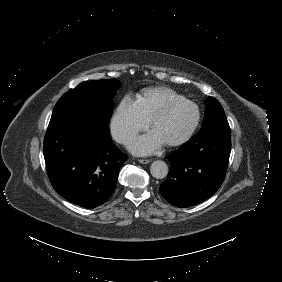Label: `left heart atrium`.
Wrapping results in <instances>:
<instances>
[{
	"instance_id": "obj_1",
	"label": "left heart atrium",
	"mask_w": 282,
	"mask_h": 282,
	"mask_svg": "<svg viewBox=\"0 0 282 282\" xmlns=\"http://www.w3.org/2000/svg\"><path fill=\"white\" fill-rule=\"evenodd\" d=\"M163 142L159 134L154 130L149 134L135 139L131 143V147L134 151L139 153H148L157 149Z\"/></svg>"
}]
</instances>
